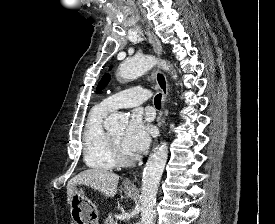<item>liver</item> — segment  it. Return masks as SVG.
<instances>
[{
	"label": "liver",
	"instance_id": "obj_1",
	"mask_svg": "<svg viewBox=\"0 0 275 224\" xmlns=\"http://www.w3.org/2000/svg\"><path fill=\"white\" fill-rule=\"evenodd\" d=\"M119 175L104 169H87L69 180L67 184L68 203L76 185H86L101 192L105 197H114L117 193Z\"/></svg>",
	"mask_w": 275,
	"mask_h": 224
}]
</instances>
